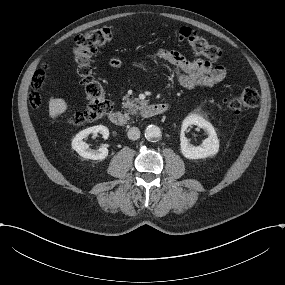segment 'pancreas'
<instances>
[{
	"instance_id": "pancreas-1",
	"label": "pancreas",
	"mask_w": 285,
	"mask_h": 285,
	"mask_svg": "<svg viewBox=\"0 0 285 285\" xmlns=\"http://www.w3.org/2000/svg\"><path fill=\"white\" fill-rule=\"evenodd\" d=\"M123 100H125L123 107L128 108L131 114H136L140 107L148 104V100H140L139 98L129 99L127 95L123 97Z\"/></svg>"
}]
</instances>
